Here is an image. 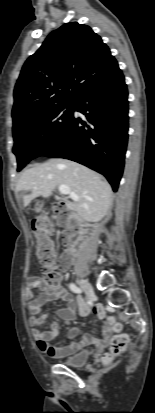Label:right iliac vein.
Here are the masks:
<instances>
[{"label": "right iliac vein", "mask_w": 155, "mask_h": 413, "mask_svg": "<svg viewBox=\"0 0 155 413\" xmlns=\"http://www.w3.org/2000/svg\"><path fill=\"white\" fill-rule=\"evenodd\" d=\"M81 287L84 289L88 298H91L94 295V290L92 285L85 279H79Z\"/></svg>", "instance_id": "63e3f726"}]
</instances>
